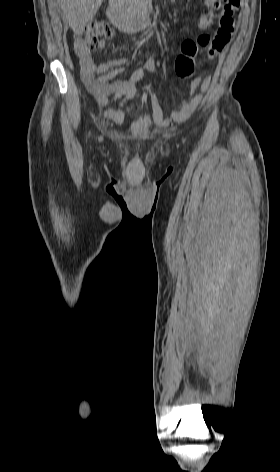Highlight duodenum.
Here are the masks:
<instances>
[{"label":"duodenum","instance_id":"410a0bca","mask_svg":"<svg viewBox=\"0 0 280 472\" xmlns=\"http://www.w3.org/2000/svg\"><path fill=\"white\" fill-rule=\"evenodd\" d=\"M107 17L120 30L127 33L143 30L153 22V17L149 11L136 3L122 5L113 2L107 8Z\"/></svg>","mask_w":280,"mask_h":472}]
</instances>
